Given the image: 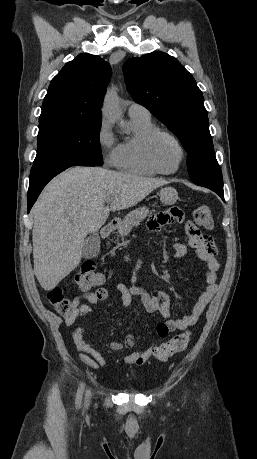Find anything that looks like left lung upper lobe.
<instances>
[{
  "label": "left lung upper lobe",
  "mask_w": 257,
  "mask_h": 459,
  "mask_svg": "<svg viewBox=\"0 0 257 459\" xmlns=\"http://www.w3.org/2000/svg\"><path fill=\"white\" fill-rule=\"evenodd\" d=\"M123 72L134 101L146 107L179 138L188 153L191 180L210 189H223L203 95L193 76L164 52L129 59Z\"/></svg>",
  "instance_id": "1"
}]
</instances>
